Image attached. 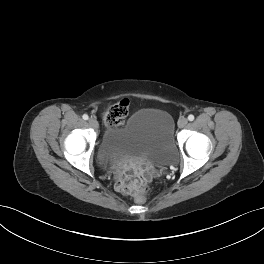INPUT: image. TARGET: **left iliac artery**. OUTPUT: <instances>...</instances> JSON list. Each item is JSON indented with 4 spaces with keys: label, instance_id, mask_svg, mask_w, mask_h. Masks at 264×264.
<instances>
[{
    "label": "left iliac artery",
    "instance_id": "left-iliac-artery-1",
    "mask_svg": "<svg viewBox=\"0 0 264 264\" xmlns=\"http://www.w3.org/2000/svg\"><path fill=\"white\" fill-rule=\"evenodd\" d=\"M188 120H189V121H193V120H194V115L190 114V115L188 116Z\"/></svg>",
    "mask_w": 264,
    "mask_h": 264
}]
</instances>
